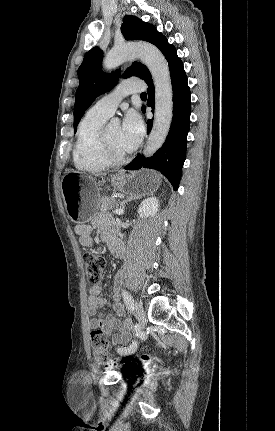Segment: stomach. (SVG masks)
Returning <instances> with one entry per match:
<instances>
[{"instance_id":"stomach-1","label":"stomach","mask_w":275,"mask_h":431,"mask_svg":"<svg viewBox=\"0 0 275 431\" xmlns=\"http://www.w3.org/2000/svg\"><path fill=\"white\" fill-rule=\"evenodd\" d=\"M112 186L126 194H146L154 192L161 184L158 173L151 170L125 174L118 172L111 178ZM61 192L68 218L83 224L91 220L99 206V189L87 176L75 172L66 173L61 180Z\"/></svg>"}]
</instances>
